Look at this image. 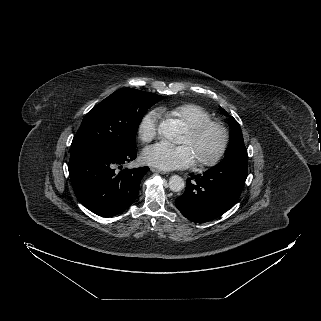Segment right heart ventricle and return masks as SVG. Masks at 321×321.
<instances>
[{
  "instance_id": "right-heart-ventricle-1",
  "label": "right heart ventricle",
  "mask_w": 321,
  "mask_h": 321,
  "mask_svg": "<svg viewBox=\"0 0 321 321\" xmlns=\"http://www.w3.org/2000/svg\"><path fill=\"white\" fill-rule=\"evenodd\" d=\"M169 114L180 119L186 127L211 119L209 111L196 103H185L173 107L169 110Z\"/></svg>"
}]
</instances>
